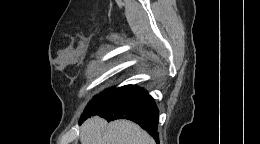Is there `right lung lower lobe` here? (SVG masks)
<instances>
[{
    "instance_id": "obj_1",
    "label": "right lung lower lobe",
    "mask_w": 260,
    "mask_h": 144,
    "mask_svg": "<svg viewBox=\"0 0 260 144\" xmlns=\"http://www.w3.org/2000/svg\"><path fill=\"white\" fill-rule=\"evenodd\" d=\"M158 112L154 99L145 90L128 85L90 115L80 118V123L94 115L107 121L129 119L139 124L158 142Z\"/></svg>"
}]
</instances>
